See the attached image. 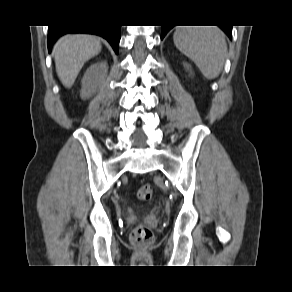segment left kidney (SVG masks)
Listing matches in <instances>:
<instances>
[{
  "instance_id": "obj_1",
  "label": "left kidney",
  "mask_w": 292,
  "mask_h": 292,
  "mask_svg": "<svg viewBox=\"0 0 292 292\" xmlns=\"http://www.w3.org/2000/svg\"><path fill=\"white\" fill-rule=\"evenodd\" d=\"M184 66H186V68H187V69H189V68H190V66H189L188 64H184Z\"/></svg>"
}]
</instances>
